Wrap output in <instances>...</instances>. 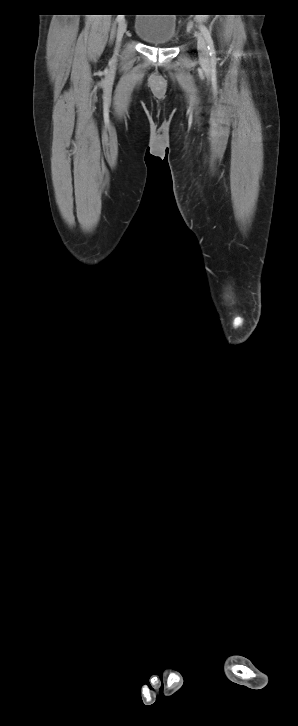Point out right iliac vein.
<instances>
[{
    "mask_svg": "<svg viewBox=\"0 0 298 726\" xmlns=\"http://www.w3.org/2000/svg\"><path fill=\"white\" fill-rule=\"evenodd\" d=\"M126 29H127V22L125 20H121L120 23H119V25H118L117 33H116L117 45L120 44V42H121V40H122V38L124 36V33H125Z\"/></svg>",
    "mask_w": 298,
    "mask_h": 726,
    "instance_id": "right-iliac-vein-1",
    "label": "right iliac vein"
}]
</instances>
